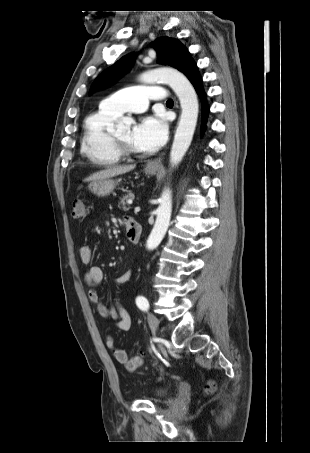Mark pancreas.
Segmentation results:
<instances>
[{"label": "pancreas", "mask_w": 310, "mask_h": 453, "mask_svg": "<svg viewBox=\"0 0 310 453\" xmlns=\"http://www.w3.org/2000/svg\"><path fill=\"white\" fill-rule=\"evenodd\" d=\"M134 198H135V196L133 193H129V194L123 196V198L120 199L118 207L124 211H128L130 209V206L127 205V201L133 200Z\"/></svg>", "instance_id": "1"}]
</instances>
